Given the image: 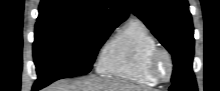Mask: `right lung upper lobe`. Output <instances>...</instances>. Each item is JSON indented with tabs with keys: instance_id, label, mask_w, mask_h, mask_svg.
Instances as JSON below:
<instances>
[{
	"instance_id": "1",
	"label": "right lung upper lobe",
	"mask_w": 220,
	"mask_h": 91,
	"mask_svg": "<svg viewBox=\"0 0 220 91\" xmlns=\"http://www.w3.org/2000/svg\"><path fill=\"white\" fill-rule=\"evenodd\" d=\"M128 14L122 0H41L36 25L76 23L117 27Z\"/></svg>"
}]
</instances>
